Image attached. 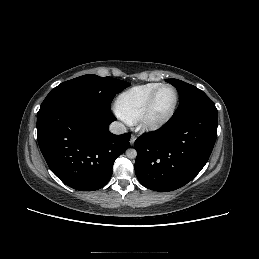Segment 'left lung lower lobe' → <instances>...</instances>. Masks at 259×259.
<instances>
[{
	"label": "left lung lower lobe",
	"instance_id": "0a47b994",
	"mask_svg": "<svg viewBox=\"0 0 259 259\" xmlns=\"http://www.w3.org/2000/svg\"><path fill=\"white\" fill-rule=\"evenodd\" d=\"M217 110L174 113L159 130L135 141V173L155 191H173L191 181L207 163L217 136Z\"/></svg>",
	"mask_w": 259,
	"mask_h": 259
}]
</instances>
